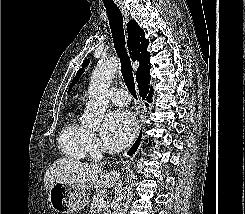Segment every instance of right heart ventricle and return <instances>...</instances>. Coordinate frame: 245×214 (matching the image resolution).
Listing matches in <instances>:
<instances>
[{
	"label": "right heart ventricle",
	"instance_id": "right-heart-ventricle-1",
	"mask_svg": "<svg viewBox=\"0 0 245 214\" xmlns=\"http://www.w3.org/2000/svg\"><path fill=\"white\" fill-rule=\"evenodd\" d=\"M88 133L89 130L73 114L58 137V146L63 155L73 161L84 160L88 154Z\"/></svg>",
	"mask_w": 245,
	"mask_h": 214
}]
</instances>
